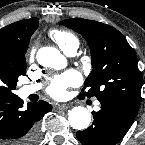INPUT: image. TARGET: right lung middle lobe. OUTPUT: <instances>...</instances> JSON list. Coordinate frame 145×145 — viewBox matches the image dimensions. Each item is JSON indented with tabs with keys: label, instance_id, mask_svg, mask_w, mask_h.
I'll list each match as a JSON object with an SVG mask.
<instances>
[{
	"label": "right lung middle lobe",
	"instance_id": "dd1d6c3e",
	"mask_svg": "<svg viewBox=\"0 0 145 145\" xmlns=\"http://www.w3.org/2000/svg\"><path fill=\"white\" fill-rule=\"evenodd\" d=\"M26 50L0 53V96L15 95L18 77L26 74Z\"/></svg>",
	"mask_w": 145,
	"mask_h": 145
}]
</instances>
